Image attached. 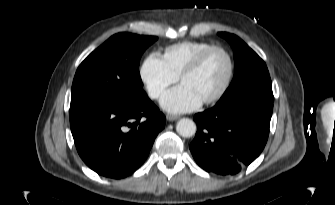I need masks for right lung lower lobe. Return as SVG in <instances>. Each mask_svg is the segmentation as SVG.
Returning a JSON list of instances; mask_svg holds the SVG:
<instances>
[{
    "label": "right lung lower lobe",
    "mask_w": 335,
    "mask_h": 205,
    "mask_svg": "<svg viewBox=\"0 0 335 205\" xmlns=\"http://www.w3.org/2000/svg\"><path fill=\"white\" fill-rule=\"evenodd\" d=\"M165 117L144 93L133 100H88L70 105V127L82 160L114 179L147 158Z\"/></svg>",
    "instance_id": "obj_1"
}]
</instances>
